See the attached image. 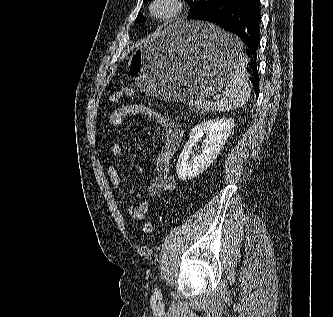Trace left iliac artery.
<instances>
[{
  "mask_svg": "<svg viewBox=\"0 0 333 317\" xmlns=\"http://www.w3.org/2000/svg\"><path fill=\"white\" fill-rule=\"evenodd\" d=\"M155 294L156 295H160V290H158L157 288L155 289Z\"/></svg>",
  "mask_w": 333,
  "mask_h": 317,
  "instance_id": "44dca946",
  "label": "left iliac artery"
}]
</instances>
